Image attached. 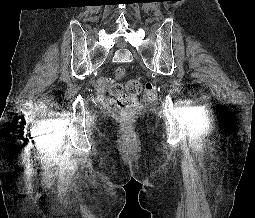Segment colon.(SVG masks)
<instances>
[{
  "label": "colon",
  "mask_w": 255,
  "mask_h": 218,
  "mask_svg": "<svg viewBox=\"0 0 255 218\" xmlns=\"http://www.w3.org/2000/svg\"><path fill=\"white\" fill-rule=\"evenodd\" d=\"M124 73V68L117 69V75ZM98 88L102 92H109L115 96L117 107L122 111L123 115L130 118L137 114L141 107L136 100V95L142 93V97L146 102H152L156 99V88L151 83L142 85L140 79L132 78L124 84L115 82L110 79H101L98 82Z\"/></svg>",
  "instance_id": "obj_1"
}]
</instances>
